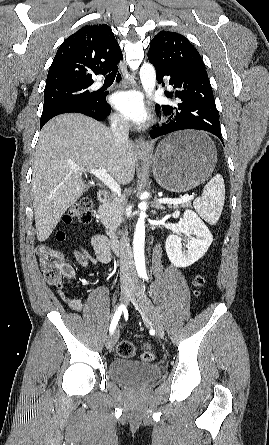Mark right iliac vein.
<instances>
[{
	"mask_svg": "<svg viewBox=\"0 0 269 445\" xmlns=\"http://www.w3.org/2000/svg\"><path fill=\"white\" fill-rule=\"evenodd\" d=\"M134 293V289L131 287H124L121 291V301L127 303ZM119 338V330L116 329L108 338L106 347L112 349Z\"/></svg>",
	"mask_w": 269,
	"mask_h": 445,
	"instance_id": "1",
	"label": "right iliac vein"
}]
</instances>
